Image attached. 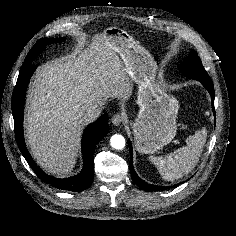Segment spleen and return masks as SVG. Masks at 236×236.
<instances>
[{"instance_id": "spleen-1", "label": "spleen", "mask_w": 236, "mask_h": 236, "mask_svg": "<svg viewBox=\"0 0 236 236\" xmlns=\"http://www.w3.org/2000/svg\"><path fill=\"white\" fill-rule=\"evenodd\" d=\"M207 132L203 128L187 138V146L177 149L166 157H150L161 176L168 181L179 179L197 165L206 142Z\"/></svg>"}]
</instances>
